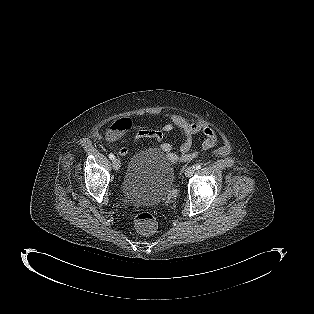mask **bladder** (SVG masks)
Masks as SVG:
<instances>
[{"mask_svg": "<svg viewBox=\"0 0 314 314\" xmlns=\"http://www.w3.org/2000/svg\"><path fill=\"white\" fill-rule=\"evenodd\" d=\"M175 165L154 148L137 152L130 160L122 194L134 206H156L172 188Z\"/></svg>", "mask_w": 314, "mask_h": 314, "instance_id": "obj_1", "label": "bladder"}]
</instances>
